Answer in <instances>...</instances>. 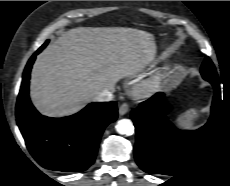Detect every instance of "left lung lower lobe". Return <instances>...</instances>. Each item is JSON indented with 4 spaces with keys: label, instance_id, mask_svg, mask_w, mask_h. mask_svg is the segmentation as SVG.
I'll use <instances>...</instances> for the list:
<instances>
[{
    "label": "left lung lower lobe",
    "instance_id": "1",
    "mask_svg": "<svg viewBox=\"0 0 230 186\" xmlns=\"http://www.w3.org/2000/svg\"><path fill=\"white\" fill-rule=\"evenodd\" d=\"M214 87L211 117L196 131H182L166 117L164 94L157 93L132 110L136 129L135 160L142 170L152 174L174 175L210 138L221 112L222 101L218 80Z\"/></svg>",
    "mask_w": 230,
    "mask_h": 186
}]
</instances>
